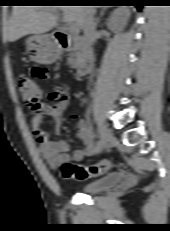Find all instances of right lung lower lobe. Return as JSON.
I'll return each instance as SVG.
<instances>
[{
    "label": "right lung lower lobe",
    "mask_w": 170,
    "mask_h": 231,
    "mask_svg": "<svg viewBox=\"0 0 170 231\" xmlns=\"http://www.w3.org/2000/svg\"><path fill=\"white\" fill-rule=\"evenodd\" d=\"M136 7H137L138 10H141V8H142L141 5H140V6H139V5H136Z\"/></svg>",
    "instance_id": "obj_1"
}]
</instances>
